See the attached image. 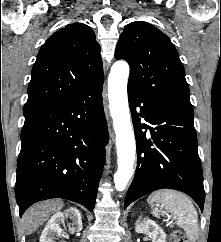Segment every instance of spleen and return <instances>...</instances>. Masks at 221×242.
<instances>
[{"label":"spleen","instance_id":"obj_1","mask_svg":"<svg viewBox=\"0 0 221 242\" xmlns=\"http://www.w3.org/2000/svg\"><path fill=\"white\" fill-rule=\"evenodd\" d=\"M148 203L151 205L152 214L155 217L163 215L158 209V205L164 206L166 212L170 213L176 223L183 227L189 240L191 242L197 240L199 235L198 214L186 195L170 189L159 190L149 195Z\"/></svg>","mask_w":221,"mask_h":242}]
</instances>
